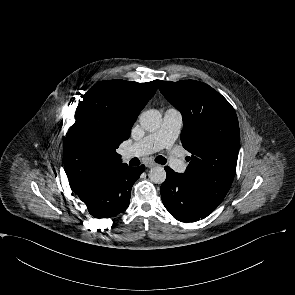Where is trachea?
<instances>
[{
  "label": "trachea",
  "mask_w": 295,
  "mask_h": 295,
  "mask_svg": "<svg viewBox=\"0 0 295 295\" xmlns=\"http://www.w3.org/2000/svg\"><path fill=\"white\" fill-rule=\"evenodd\" d=\"M155 162H157L159 164H165L166 159L163 156H158V157L155 158Z\"/></svg>",
  "instance_id": "3493384b"
}]
</instances>
